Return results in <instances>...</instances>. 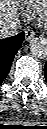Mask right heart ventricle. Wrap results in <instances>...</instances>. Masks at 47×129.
Masks as SVG:
<instances>
[{"mask_svg":"<svg viewBox=\"0 0 47 129\" xmlns=\"http://www.w3.org/2000/svg\"><path fill=\"white\" fill-rule=\"evenodd\" d=\"M45 0H25L28 12H39L44 6Z\"/></svg>","mask_w":47,"mask_h":129,"instance_id":"1","label":"right heart ventricle"}]
</instances>
